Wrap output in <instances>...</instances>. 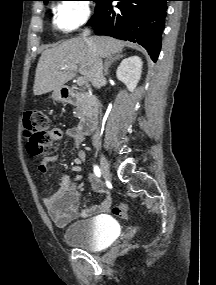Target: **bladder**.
I'll return each mask as SVG.
<instances>
[{"instance_id":"31cf9c89","label":"bladder","mask_w":216,"mask_h":285,"mask_svg":"<svg viewBox=\"0 0 216 285\" xmlns=\"http://www.w3.org/2000/svg\"><path fill=\"white\" fill-rule=\"evenodd\" d=\"M117 236L118 228L107 216L77 220L63 233L68 245L92 252L106 249Z\"/></svg>"}]
</instances>
